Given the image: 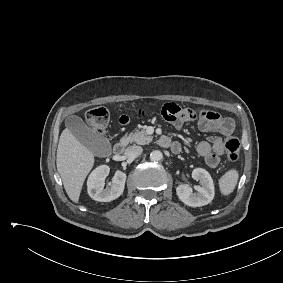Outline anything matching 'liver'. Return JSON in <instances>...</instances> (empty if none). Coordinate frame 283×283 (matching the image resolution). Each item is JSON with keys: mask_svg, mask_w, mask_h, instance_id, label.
Masks as SVG:
<instances>
[{"mask_svg": "<svg viewBox=\"0 0 283 283\" xmlns=\"http://www.w3.org/2000/svg\"><path fill=\"white\" fill-rule=\"evenodd\" d=\"M94 154L66 128L57 148L56 165L69 198L79 201L83 183L94 165Z\"/></svg>", "mask_w": 283, "mask_h": 283, "instance_id": "1", "label": "liver"}]
</instances>
